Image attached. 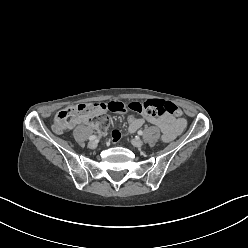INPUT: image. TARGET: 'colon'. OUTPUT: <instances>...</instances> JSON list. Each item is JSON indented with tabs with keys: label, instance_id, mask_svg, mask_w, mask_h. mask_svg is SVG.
<instances>
[{
	"label": "colon",
	"instance_id": "obj_1",
	"mask_svg": "<svg viewBox=\"0 0 248 248\" xmlns=\"http://www.w3.org/2000/svg\"><path fill=\"white\" fill-rule=\"evenodd\" d=\"M108 110L114 112L130 110L149 117H157L164 114L179 117L182 114L180 108L175 104L153 99L133 101L128 104L121 102H113L108 105L104 102L79 104L59 111L54 117L53 128L57 133H62L76 122L85 121L93 123L98 130L107 132L111 128L110 119L106 114ZM134 120L135 115L128 114L125 117V124L132 125L133 128L138 129L139 125Z\"/></svg>",
	"mask_w": 248,
	"mask_h": 248
}]
</instances>
